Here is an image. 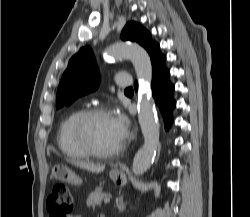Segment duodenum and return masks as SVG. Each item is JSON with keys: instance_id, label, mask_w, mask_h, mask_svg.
Instances as JSON below:
<instances>
[{"instance_id": "1", "label": "duodenum", "mask_w": 250, "mask_h": 217, "mask_svg": "<svg viewBox=\"0 0 250 217\" xmlns=\"http://www.w3.org/2000/svg\"><path fill=\"white\" fill-rule=\"evenodd\" d=\"M100 217H105L104 215H101Z\"/></svg>"}]
</instances>
